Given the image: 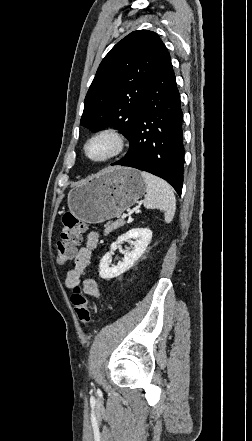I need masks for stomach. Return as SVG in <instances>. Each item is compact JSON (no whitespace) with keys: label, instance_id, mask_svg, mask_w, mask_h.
Wrapping results in <instances>:
<instances>
[{"label":"stomach","instance_id":"0dacf381","mask_svg":"<svg viewBox=\"0 0 252 441\" xmlns=\"http://www.w3.org/2000/svg\"><path fill=\"white\" fill-rule=\"evenodd\" d=\"M145 191L146 182L139 170L109 167L75 186L68 194V206L80 221L97 224L119 217Z\"/></svg>","mask_w":252,"mask_h":441}]
</instances>
